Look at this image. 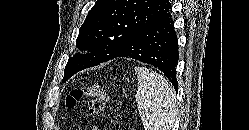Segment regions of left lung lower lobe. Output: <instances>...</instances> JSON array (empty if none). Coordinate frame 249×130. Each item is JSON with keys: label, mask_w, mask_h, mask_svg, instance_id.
<instances>
[{"label": "left lung lower lobe", "mask_w": 249, "mask_h": 130, "mask_svg": "<svg viewBox=\"0 0 249 130\" xmlns=\"http://www.w3.org/2000/svg\"><path fill=\"white\" fill-rule=\"evenodd\" d=\"M117 57L136 59L158 68L177 90L178 39L170 11L136 33L112 59Z\"/></svg>", "instance_id": "0a47b994"}]
</instances>
